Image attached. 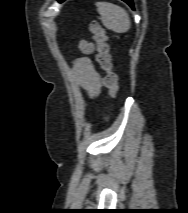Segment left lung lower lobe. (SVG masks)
<instances>
[{
	"label": "left lung lower lobe",
	"mask_w": 188,
	"mask_h": 213,
	"mask_svg": "<svg viewBox=\"0 0 188 213\" xmlns=\"http://www.w3.org/2000/svg\"><path fill=\"white\" fill-rule=\"evenodd\" d=\"M59 1H60V2H63L64 0H59ZM123 1H125L127 4L130 5V7L133 8V2H132V0H123Z\"/></svg>",
	"instance_id": "1"
}]
</instances>
